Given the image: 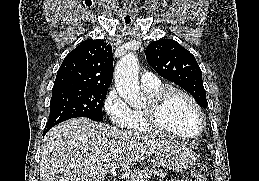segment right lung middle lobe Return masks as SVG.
Instances as JSON below:
<instances>
[{"mask_svg": "<svg viewBox=\"0 0 259 181\" xmlns=\"http://www.w3.org/2000/svg\"><path fill=\"white\" fill-rule=\"evenodd\" d=\"M108 89L57 87L52 89L50 116L45 129L74 117L102 121L103 100Z\"/></svg>", "mask_w": 259, "mask_h": 181, "instance_id": "dd1d6c3e", "label": "right lung middle lobe"}]
</instances>
